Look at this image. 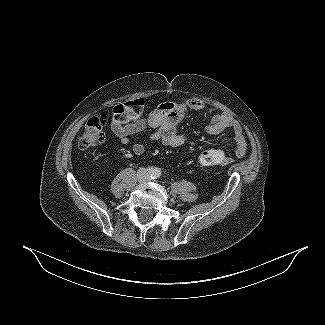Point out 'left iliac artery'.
Segmentation results:
<instances>
[{"instance_id": "left-iliac-artery-1", "label": "left iliac artery", "mask_w": 325, "mask_h": 325, "mask_svg": "<svg viewBox=\"0 0 325 325\" xmlns=\"http://www.w3.org/2000/svg\"><path fill=\"white\" fill-rule=\"evenodd\" d=\"M160 176L159 172H156L153 176H151L152 179H157Z\"/></svg>"}]
</instances>
